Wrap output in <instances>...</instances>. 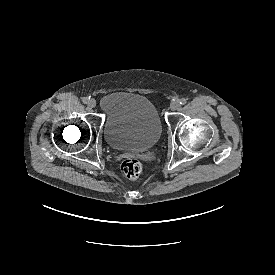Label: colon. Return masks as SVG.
Returning a JSON list of instances; mask_svg holds the SVG:
<instances>
[{"label": "colon", "instance_id": "obj_1", "mask_svg": "<svg viewBox=\"0 0 275 275\" xmlns=\"http://www.w3.org/2000/svg\"><path fill=\"white\" fill-rule=\"evenodd\" d=\"M121 172L126 179H136L142 172V164L134 158L126 159L121 164Z\"/></svg>", "mask_w": 275, "mask_h": 275}]
</instances>
